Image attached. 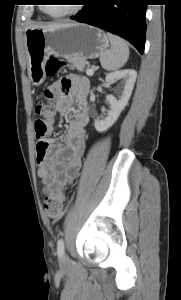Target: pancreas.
Listing matches in <instances>:
<instances>
[{"label": "pancreas", "mask_w": 181, "mask_h": 300, "mask_svg": "<svg viewBox=\"0 0 181 300\" xmlns=\"http://www.w3.org/2000/svg\"><path fill=\"white\" fill-rule=\"evenodd\" d=\"M69 62L79 71H84L86 62L78 58H70Z\"/></svg>", "instance_id": "1"}]
</instances>
